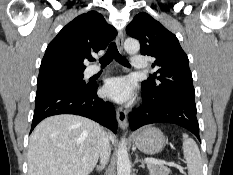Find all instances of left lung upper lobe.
<instances>
[{"label": "left lung upper lobe", "mask_w": 233, "mask_h": 175, "mask_svg": "<svg viewBox=\"0 0 233 175\" xmlns=\"http://www.w3.org/2000/svg\"><path fill=\"white\" fill-rule=\"evenodd\" d=\"M126 32L140 41L142 55L156 59L152 66L159 76L143 81V92L157 100L176 93L195 95L188 57L174 34L147 13L137 14Z\"/></svg>", "instance_id": "left-lung-upper-lobe-1"}]
</instances>
